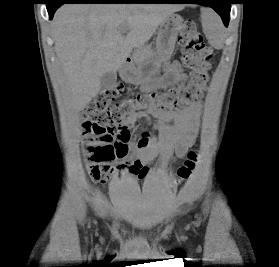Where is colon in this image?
<instances>
[{
    "label": "colon",
    "instance_id": "5ec220e1",
    "mask_svg": "<svg viewBox=\"0 0 279 267\" xmlns=\"http://www.w3.org/2000/svg\"><path fill=\"white\" fill-rule=\"evenodd\" d=\"M183 56L182 63L190 71L191 79L177 86L145 94H134L119 99L124 87L117 84L101 92L93 103L82 113V146L87 158L90 176L100 181L106 175L128 167L131 171H140L141 165L135 161L114 165L117 159L126 157L129 143L134 140L128 124L133 114L154 110H181L195 102L207 84L208 69L213 51L205 43L202 33L192 20H184L179 39ZM140 143L144 142L143 137ZM197 153L189 152L185 162L179 167L174 184L187 180L195 169Z\"/></svg>",
    "mask_w": 279,
    "mask_h": 267
}]
</instances>
